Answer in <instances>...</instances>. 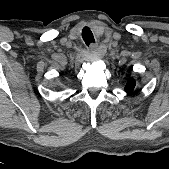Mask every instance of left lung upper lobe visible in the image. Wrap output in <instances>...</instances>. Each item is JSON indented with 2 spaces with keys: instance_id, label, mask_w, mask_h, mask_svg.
Masks as SVG:
<instances>
[{
  "instance_id": "5c2ea615",
  "label": "left lung upper lobe",
  "mask_w": 169,
  "mask_h": 169,
  "mask_svg": "<svg viewBox=\"0 0 169 169\" xmlns=\"http://www.w3.org/2000/svg\"><path fill=\"white\" fill-rule=\"evenodd\" d=\"M135 87V81L133 79H129L126 86H125V91L126 92H131Z\"/></svg>"
}]
</instances>
